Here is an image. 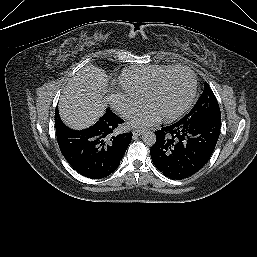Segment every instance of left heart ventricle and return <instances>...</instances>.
<instances>
[{
	"label": "left heart ventricle",
	"instance_id": "1",
	"mask_svg": "<svg viewBox=\"0 0 257 257\" xmlns=\"http://www.w3.org/2000/svg\"><path fill=\"white\" fill-rule=\"evenodd\" d=\"M191 87V77L185 71L169 75L148 102V107L156 110L160 116L177 110L186 100Z\"/></svg>",
	"mask_w": 257,
	"mask_h": 257
}]
</instances>
